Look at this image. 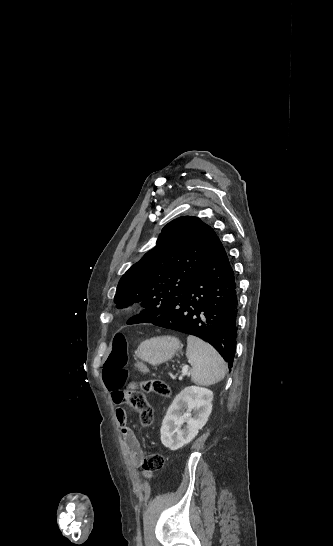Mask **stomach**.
<instances>
[{
	"mask_svg": "<svg viewBox=\"0 0 333 546\" xmlns=\"http://www.w3.org/2000/svg\"><path fill=\"white\" fill-rule=\"evenodd\" d=\"M181 342L173 336L153 337L143 341L135 351L138 358L157 366L171 359L180 349Z\"/></svg>",
	"mask_w": 333,
	"mask_h": 546,
	"instance_id": "1",
	"label": "stomach"
}]
</instances>
